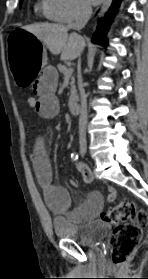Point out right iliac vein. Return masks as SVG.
Masks as SVG:
<instances>
[{
    "mask_svg": "<svg viewBox=\"0 0 148 279\" xmlns=\"http://www.w3.org/2000/svg\"><path fill=\"white\" fill-rule=\"evenodd\" d=\"M86 151H87L86 148H82L83 153H86Z\"/></svg>",
    "mask_w": 148,
    "mask_h": 279,
    "instance_id": "obj_1",
    "label": "right iliac vein"
}]
</instances>
